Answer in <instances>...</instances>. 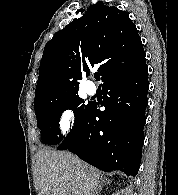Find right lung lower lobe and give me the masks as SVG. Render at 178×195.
Masks as SVG:
<instances>
[{
    "instance_id": "98d812e1",
    "label": "right lung lower lobe",
    "mask_w": 178,
    "mask_h": 195,
    "mask_svg": "<svg viewBox=\"0 0 178 195\" xmlns=\"http://www.w3.org/2000/svg\"><path fill=\"white\" fill-rule=\"evenodd\" d=\"M149 89L146 61L103 83L104 111L92 103L70 140L57 148L69 150L98 169L136 176L144 143L143 127Z\"/></svg>"
}]
</instances>
